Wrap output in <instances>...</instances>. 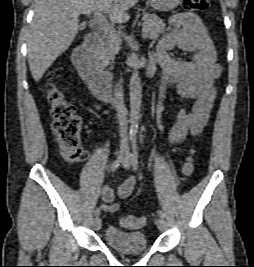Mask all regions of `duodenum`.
I'll return each instance as SVG.
<instances>
[{
  "label": "duodenum",
  "instance_id": "obj_1",
  "mask_svg": "<svg viewBox=\"0 0 254 267\" xmlns=\"http://www.w3.org/2000/svg\"><path fill=\"white\" fill-rule=\"evenodd\" d=\"M101 44L102 41L99 34L90 32L86 35L83 44L74 50L72 58L75 67L94 95L101 100L110 101L113 99L110 88V75L98 65L94 58ZM154 70V60L149 58L144 67L145 75H152Z\"/></svg>",
  "mask_w": 254,
  "mask_h": 267
}]
</instances>
